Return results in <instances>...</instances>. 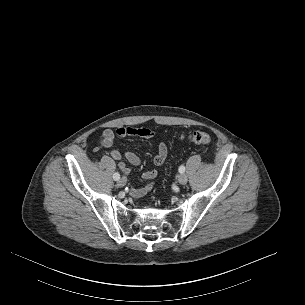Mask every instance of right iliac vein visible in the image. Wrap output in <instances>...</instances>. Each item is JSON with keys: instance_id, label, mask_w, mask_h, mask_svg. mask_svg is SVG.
Masks as SVG:
<instances>
[{"instance_id": "right-iliac-vein-1", "label": "right iliac vein", "mask_w": 305, "mask_h": 305, "mask_svg": "<svg viewBox=\"0 0 305 305\" xmlns=\"http://www.w3.org/2000/svg\"><path fill=\"white\" fill-rule=\"evenodd\" d=\"M126 183H127V179L125 177H122L121 179L118 180L117 185L119 187H123L126 185Z\"/></svg>"}]
</instances>
